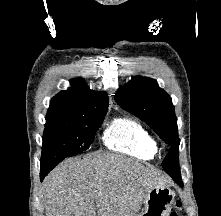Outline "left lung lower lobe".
<instances>
[{
  "label": "left lung lower lobe",
  "mask_w": 221,
  "mask_h": 216,
  "mask_svg": "<svg viewBox=\"0 0 221 216\" xmlns=\"http://www.w3.org/2000/svg\"><path fill=\"white\" fill-rule=\"evenodd\" d=\"M174 180H175L180 186H183L182 180H181V176H180V177H177V178H174Z\"/></svg>",
  "instance_id": "obj_1"
}]
</instances>
